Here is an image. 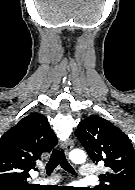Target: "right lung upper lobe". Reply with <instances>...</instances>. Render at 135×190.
I'll list each match as a JSON object with an SVG mask.
<instances>
[{
	"label": "right lung upper lobe",
	"mask_w": 135,
	"mask_h": 190,
	"mask_svg": "<svg viewBox=\"0 0 135 190\" xmlns=\"http://www.w3.org/2000/svg\"><path fill=\"white\" fill-rule=\"evenodd\" d=\"M57 145L48 120L33 113L10 128L0 138V183L28 184L29 171L44 152Z\"/></svg>",
	"instance_id": "cb5924a9"
}]
</instances>
